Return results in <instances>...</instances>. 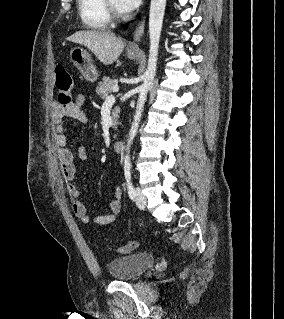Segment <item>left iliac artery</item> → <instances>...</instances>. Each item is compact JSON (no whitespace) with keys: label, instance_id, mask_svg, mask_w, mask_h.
Segmentation results:
<instances>
[{"label":"left iliac artery","instance_id":"44dca946","mask_svg":"<svg viewBox=\"0 0 284 319\" xmlns=\"http://www.w3.org/2000/svg\"><path fill=\"white\" fill-rule=\"evenodd\" d=\"M124 172H125V179L127 183V190H128V195L131 199L135 198V190L134 186L131 180V162L129 159H125L124 162Z\"/></svg>","mask_w":284,"mask_h":319}]
</instances>
